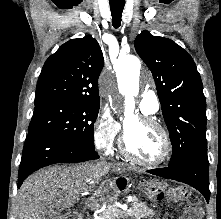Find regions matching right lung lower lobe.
I'll return each mask as SVG.
<instances>
[{"label":"right lung lower lobe","instance_id":"obj_1","mask_svg":"<svg viewBox=\"0 0 221 219\" xmlns=\"http://www.w3.org/2000/svg\"><path fill=\"white\" fill-rule=\"evenodd\" d=\"M95 149L76 145L62 138L40 132H29L19 167L18 188L28 175L55 163H76L98 159Z\"/></svg>","mask_w":221,"mask_h":219}]
</instances>
